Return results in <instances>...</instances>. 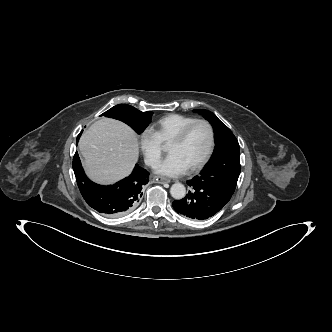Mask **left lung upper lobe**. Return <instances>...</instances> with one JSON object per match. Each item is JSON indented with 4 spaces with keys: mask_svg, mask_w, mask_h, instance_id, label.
<instances>
[{
    "mask_svg": "<svg viewBox=\"0 0 332 332\" xmlns=\"http://www.w3.org/2000/svg\"><path fill=\"white\" fill-rule=\"evenodd\" d=\"M202 113L211 123L216 139V150L211 160L200 172L199 177L211 189L231 199L240 174L239 143L231 130L212 112L195 110Z\"/></svg>",
    "mask_w": 332,
    "mask_h": 332,
    "instance_id": "5c2ea615",
    "label": "left lung upper lobe"
}]
</instances>
